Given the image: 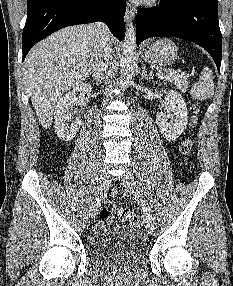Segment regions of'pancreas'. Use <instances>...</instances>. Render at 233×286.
Instances as JSON below:
<instances>
[{
    "label": "pancreas",
    "mask_w": 233,
    "mask_h": 286,
    "mask_svg": "<svg viewBox=\"0 0 233 286\" xmlns=\"http://www.w3.org/2000/svg\"><path fill=\"white\" fill-rule=\"evenodd\" d=\"M164 72H165V75L163 77L164 81H168L174 84L177 87V89L181 91H186V89L189 86V81L185 76L177 74L178 72L172 69H164Z\"/></svg>",
    "instance_id": "pancreas-1"
}]
</instances>
